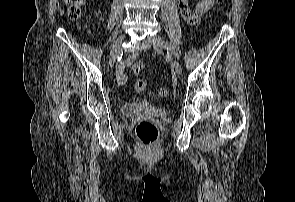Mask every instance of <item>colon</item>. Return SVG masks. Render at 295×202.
I'll return each instance as SVG.
<instances>
[{
	"mask_svg": "<svg viewBox=\"0 0 295 202\" xmlns=\"http://www.w3.org/2000/svg\"><path fill=\"white\" fill-rule=\"evenodd\" d=\"M68 3V15L71 19H78L81 14V9L85 5L86 0H66ZM217 4H222L224 0H216ZM145 63L141 61L134 62L132 64V71L135 74H141L145 71ZM147 82L140 80L135 84V89L139 92L146 90ZM168 90L166 88H160L158 90V95L162 98L168 96ZM137 138L141 143L145 145L153 144L158 138V128L157 126L148 120L140 121L135 129Z\"/></svg>",
	"mask_w": 295,
	"mask_h": 202,
	"instance_id": "5ec220e1",
	"label": "colon"
}]
</instances>
